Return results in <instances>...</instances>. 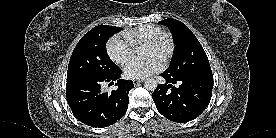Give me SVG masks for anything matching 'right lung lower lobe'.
<instances>
[{
  "label": "right lung lower lobe",
  "instance_id": "1",
  "mask_svg": "<svg viewBox=\"0 0 276 138\" xmlns=\"http://www.w3.org/2000/svg\"><path fill=\"white\" fill-rule=\"evenodd\" d=\"M120 68L110 76L89 78L66 86V98L74 116L91 127H107L121 119L129 103L128 93L134 87L131 80L119 79ZM117 80L118 88L111 93L101 90L102 82Z\"/></svg>",
  "mask_w": 276,
  "mask_h": 138
}]
</instances>
